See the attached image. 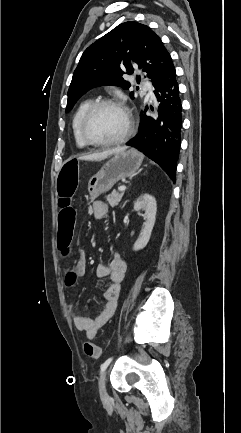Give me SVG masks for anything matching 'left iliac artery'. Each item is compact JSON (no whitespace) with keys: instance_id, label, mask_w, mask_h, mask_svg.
Here are the masks:
<instances>
[{"instance_id":"44dca946","label":"left iliac artery","mask_w":241,"mask_h":433,"mask_svg":"<svg viewBox=\"0 0 241 433\" xmlns=\"http://www.w3.org/2000/svg\"><path fill=\"white\" fill-rule=\"evenodd\" d=\"M113 357L108 358L102 365H101V373L108 367V365L111 363Z\"/></svg>"}]
</instances>
